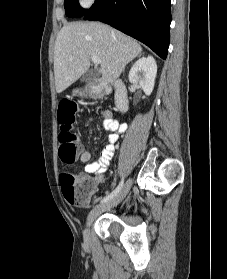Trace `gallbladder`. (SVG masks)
<instances>
[{"label":"gallbladder","mask_w":227,"mask_h":279,"mask_svg":"<svg viewBox=\"0 0 227 279\" xmlns=\"http://www.w3.org/2000/svg\"><path fill=\"white\" fill-rule=\"evenodd\" d=\"M99 73L96 70H88L82 76L81 81L86 84H92L94 80L98 77Z\"/></svg>","instance_id":"obj_1"}]
</instances>
